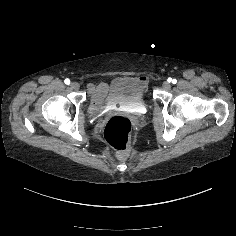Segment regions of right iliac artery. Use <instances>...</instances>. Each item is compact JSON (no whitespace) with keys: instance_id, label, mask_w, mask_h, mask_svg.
Listing matches in <instances>:
<instances>
[{"instance_id":"82829eb1","label":"right iliac artery","mask_w":236,"mask_h":236,"mask_svg":"<svg viewBox=\"0 0 236 236\" xmlns=\"http://www.w3.org/2000/svg\"><path fill=\"white\" fill-rule=\"evenodd\" d=\"M65 84L69 85L70 84V80L67 78L64 80Z\"/></svg>"}]
</instances>
